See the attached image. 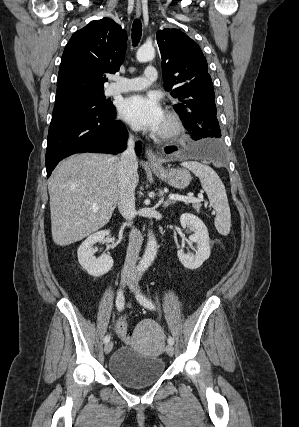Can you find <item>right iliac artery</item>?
<instances>
[{"label":"right iliac artery","mask_w":299,"mask_h":427,"mask_svg":"<svg viewBox=\"0 0 299 427\" xmlns=\"http://www.w3.org/2000/svg\"><path fill=\"white\" fill-rule=\"evenodd\" d=\"M124 305H125V299H124V295H123V293L121 292V290L118 292V294H117V298H116V307H117V309L119 310V311H121V310H123L124 309ZM109 340H110V336L109 335H106L105 337H104V343H107V342H109Z\"/></svg>","instance_id":"obj_1"}]
</instances>
